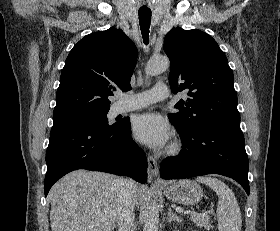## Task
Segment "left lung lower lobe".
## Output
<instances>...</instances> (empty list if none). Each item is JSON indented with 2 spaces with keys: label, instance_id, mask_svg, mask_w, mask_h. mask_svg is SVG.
Segmentation results:
<instances>
[{
  "label": "left lung lower lobe",
  "instance_id": "1",
  "mask_svg": "<svg viewBox=\"0 0 280 231\" xmlns=\"http://www.w3.org/2000/svg\"><path fill=\"white\" fill-rule=\"evenodd\" d=\"M178 132L183 149L178 156L163 160L161 178L220 174L236 180L249 195V162L240 123L214 122Z\"/></svg>",
  "mask_w": 280,
  "mask_h": 231
}]
</instances>
